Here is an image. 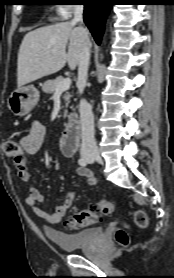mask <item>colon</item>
I'll return each instance as SVG.
<instances>
[{
    "instance_id": "1",
    "label": "colon",
    "mask_w": 174,
    "mask_h": 278,
    "mask_svg": "<svg viewBox=\"0 0 174 278\" xmlns=\"http://www.w3.org/2000/svg\"><path fill=\"white\" fill-rule=\"evenodd\" d=\"M4 153L9 157H18L22 154L20 145L12 140H6L2 143ZM113 204L108 200H101L93 206L86 207L78 211H72L67 220L66 227L70 230H76L85 226L92 225L101 219L103 214L111 213ZM134 222L138 227H145L148 222L147 215L142 210L134 213ZM116 240L121 245H127L129 237L124 229L116 232Z\"/></svg>"
}]
</instances>
